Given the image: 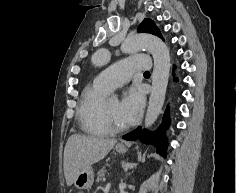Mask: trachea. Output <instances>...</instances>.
<instances>
[{
	"label": "trachea",
	"mask_w": 237,
	"mask_h": 193,
	"mask_svg": "<svg viewBox=\"0 0 237 193\" xmlns=\"http://www.w3.org/2000/svg\"><path fill=\"white\" fill-rule=\"evenodd\" d=\"M144 74L145 75H150V72L149 71H145Z\"/></svg>",
	"instance_id": "obj_1"
}]
</instances>
